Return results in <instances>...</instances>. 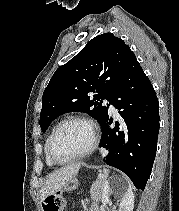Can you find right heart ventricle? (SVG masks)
<instances>
[{"instance_id": "obj_1", "label": "right heart ventricle", "mask_w": 179, "mask_h": 211, "mask_svg": "<svg viewBox=\"0 0 179 211\" xmlns=\"http://www.w3.org/2000/svg\"><path fill=\"white\" fill-rule=\"evenodd\" d=\"M55 128V127H54ZM50 131V133L48 134L47 138H46V141H45V147H44V151H45V160H46V164L49 166V167H52L54 166V164L51 162L49 156H48V153H47V145H48V141H49V138L51 136V133L53 131V129Z\"/></svg>"}]
</instances>
